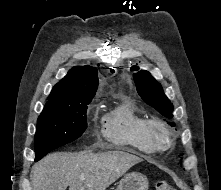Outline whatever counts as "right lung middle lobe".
Wrapping results in <instances>:
<instances>
[{
	"label": "right lung middle lobe",
	"instance_id": "1",
	"mask_svg": "<svg viewBox=\"0 0 221 190\" xmlns=\"http://www.w3.org/2000/svg\"><path fill=\"white\" fill-rule=\"evenodd\" d=\"M92 100V99H91ZM91 100L73 107L44 108L35 135V161L79 138L87 128L86 110Z\"/></svg>",
	"mask_w": 221,
	"mask_h": 190
}]
</instances>
